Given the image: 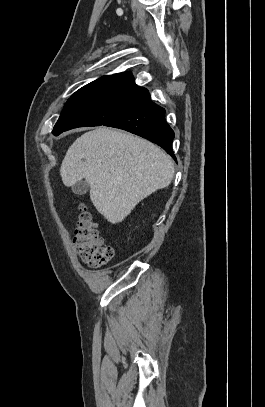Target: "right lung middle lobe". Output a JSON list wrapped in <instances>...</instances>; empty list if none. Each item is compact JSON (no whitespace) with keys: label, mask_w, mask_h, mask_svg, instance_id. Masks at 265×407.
Returning a JSON list of instances; mask_svg holds the SVG:
<instances>
[{"label":"right lung middle lobe","mask_w":265,"mask_h":407,"mask_svg":"<svg viewBox=\"0 0 265 407\" xmlns=\"http://www.w3.org/2000/svg\"><path fill=\"white\" fill-rule=\"evenodd\" d=\"M149 98L148 90L134 82L99 78L71 96L52 133L57 136L77 127L104 125Z\"/></svg>","instance_id":"1"}]
</instances>
